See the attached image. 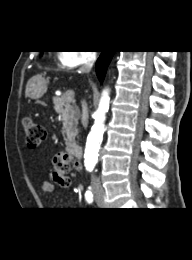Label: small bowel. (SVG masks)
Returning a JSON list of instances; mask_svg holds the SVG:
<instances>
[{"instance_id":"small-bowel-1","label":"small bowel","mask_w":192,"mask_h":260,"mask_svg":"<svg viewBox=\"0 0 192 260\" xmlns=\"http://www.w3.org/2000/svg\"><path fill=\"white\" fill-rule=\"evenodd\" d=\"M55 190V185L50 180H45L42 185V191L45 195H51ZM78 191V189L76 188Z\"/></svg>"}]
</instances>
